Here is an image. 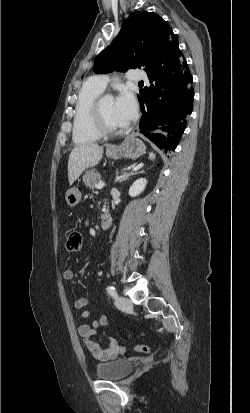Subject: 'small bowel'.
I'll list each match as a JSON object with an SVG mask.
<instances>
[{"label":"small bowel","instance_id":"small-bowel-1","mask_svg":"<svg viewBox=\"0 0 250 413\" xmlns=\"http://www.w3.org/2000/svg\"><path fill=\"white\" fill-rule=\"evenodd\" d=\"M63 278L65 280L71 281L75 278V272L71 269H66L63 271ZM88 300L84 297H80L74 300L73 306L75 309L81 310L80 317L86 319L89 317L90 312L86 310ZM107 324V317L102 315L97 320L93 321L92 324H81L78 327V334L85 344L88 351L92 356L100 361H108L115 359L119 352L120 347L117 340L113 337L110 338V343L106 348H101L98 343L93 340L97 329L103 327Z\"/></svg>","mask_w":250,"mask_h":413}]
</instances>
